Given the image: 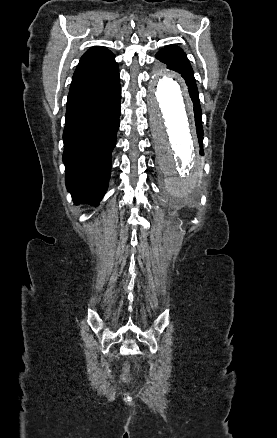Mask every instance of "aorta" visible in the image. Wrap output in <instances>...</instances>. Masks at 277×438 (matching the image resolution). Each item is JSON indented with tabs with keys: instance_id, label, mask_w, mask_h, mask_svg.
<instances>
[{
	"instance_id": "1",
	"label": "aorta",
	"mask_w": 277,
	"mask_h": 438,
	"mask_svg": "<svg viewBox=\"0 0 277 438\" xmlns=\"http://www.w3.org/2000/svg\"><path fill=\"white\" fill-rule=\"evenodd\" d=\"M151 125L166 186L174 197L192 193L202 176L192 105L174 74L157 67L148 86Z\"/></svg>"
}]
</instances>
